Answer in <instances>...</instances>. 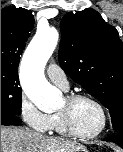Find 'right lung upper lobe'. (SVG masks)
<instances>
[{"label":"right lung upper lobe","mask_w":123,"mask_h":152,"mask_svg":"<svg viewBox=\"0 0 123 152\" xmlns=\"http://www.w3.org/2000/svg\"><path fill=\"white\" fill-rule=\"evenodd\" d=\"M33 26L30 10L15 6L1 10V70L18 73L20 55Z\"/></svg>","instance_id":"obj_1"}]
</instances>
